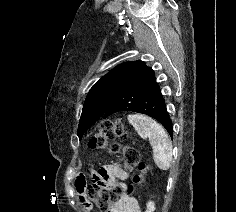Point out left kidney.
<instances>
[{
  "instance_id": "5707ae66",
  "label": "left kidney",
  "mask_w": 236,
  "mask_h": 212,
  "mask_svg": "<svg viewBox=\"0 0 236 212\" xmlns=\"http://www.w3.org/2000/svg\"><path fill=\"white\" fill-rule=\"evenodd\" d=\"M154 210H155V204H154V202L149 201V202L147 203V210H146V212H154Z\"/></svg>"
}]
</instances>
